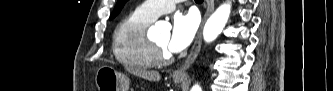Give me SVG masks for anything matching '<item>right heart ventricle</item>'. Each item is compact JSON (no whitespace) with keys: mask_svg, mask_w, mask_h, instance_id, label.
<instances>
[{"mask_svg":"<svg viewBox=\"0 0 333 91\" xmlns=\"http://www.w3.org/2000/svg\"><path fill=\"white\" fill-rule=\"evenodd\" d=\"M152 21L135 10L117 24L112 48L115 58L124 67L144 70L155 65L146 37V28Z\"/></svg>","mask_w":333,"mask_h":91,"instance_id":"e07e8e85","label":"right heart ventricle"}]
</instances>
